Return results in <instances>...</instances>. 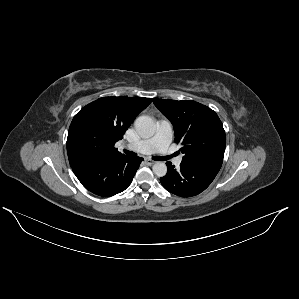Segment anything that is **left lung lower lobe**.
I'll return each instance as SVG.
<instances>
[{
	"instance_id": "left-lung-lower-lobe-1",
	"label": "left lung lower lobe",
	"mask_w": 299,
	"mask_h": 299,
	"mask_svg": "<svg viewBox=\"0 0 299 299\" xmlns=\"http://www.w3.org/2000/svg\"><path fill=\"white\" fill-rule=\"evenodd\" d=\"M167 174L160 178L161 184L169 192L191 197L204 191L214 180L222 161L214 158L182 160L179 169L167 162Z\"/></svg>"
}]
</instances>
